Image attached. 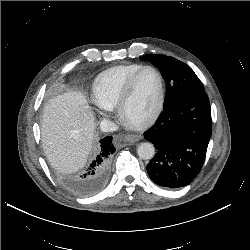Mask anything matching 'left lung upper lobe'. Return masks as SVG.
Here are the masks:
<instances>
[{"instance_id":"obj_1","label":"left lung upper lobe","mask_w":250,"mask_h":250,"mask_svg":"<svg viewBox=\"0 0 250 250\" xmlns=\"http://www.w3.org/2000/svg\"><path fill=\"white\" fill-rule=\"evenodd\" d=\"M140 58L157 66L167 83L164 107L188 95L204 92V87L199 78L183 62L161 54H148Z\"/></svg>"}]
</instances>
